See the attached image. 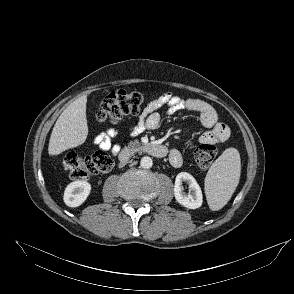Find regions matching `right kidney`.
Segmentation results:
<instances>
[{"instance_id": "right-kidney-1", "label": "right kidney", "mask_w": 294, "mask_h": 294, "mask_svg": "<svg viewBox=\"0 0 294 294\" xmlns=\"http://www.w3.org/2000/svg\"><path fill=\"white\" fill-rule=\"evenodd\" d=\"M91 191V185L87 181L77 180L67 185L63 200L69 207H78L85 202Z\"/></svg>"}]
</instances>
